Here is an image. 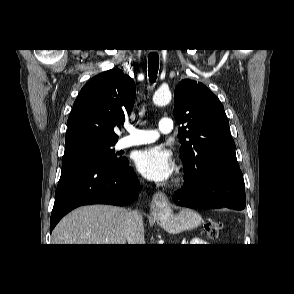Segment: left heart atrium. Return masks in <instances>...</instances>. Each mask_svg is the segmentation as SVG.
I'll use <instances>...</instances> for the list:
<instances>
[{
	"label": "left heart atrium",
	"instance_id": "left-heart-atrium-1",
	"mask_svg": "<svg viewBox=\"0 0 294 294\" xmlns=\"http://www.w3.org/2000/svg\"><path fill=\"white\" fill-rule=\"evenodd\" d=\"M134 161L138 172L152 181H167L175 171L171 153L160 146L139 151Z\"/></svg>",
	"mask_w": 294,
	"mask_h": 294
}]
</instances>
